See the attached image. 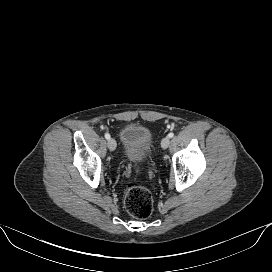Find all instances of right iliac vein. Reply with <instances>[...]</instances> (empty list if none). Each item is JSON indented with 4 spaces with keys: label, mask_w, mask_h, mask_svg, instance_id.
<instances>
[{
    "label": "right iliac vein",
    "mask_w": 272,
    "mask_h": 272,
    "mask_svg": "<svg viewBox=\"0 0 272 272\" xmlns=\"http://www.w3.org/2000/svg\"><path fill=\"white\" fill-rule=\"evenodd\" d=\"M108 148L110 151H114L116 149V141L113 138L108 140Z\"/></svg>",
    "instance_id": "63e3f726"
}]
</instances>
